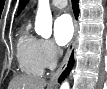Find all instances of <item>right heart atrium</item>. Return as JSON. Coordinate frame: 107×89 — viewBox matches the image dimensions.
<instances>
[{
	"label": "right heart atrium",
	"instance_id": "d8ad5b80",
	"mask_svg": "<svg viewBox=\"0 0 107 89\" xmlns=\"http://www.w3.org/2000/svg\"><path fill=\"white\" fill-rule=\"evenodd\" d=\"M59 51L55 44L49 39H40V55L45 67L52 66L57 58Z\"/></svg>",
	"mask_w": 107,
	"mask_h": 89
}]
</instances>
